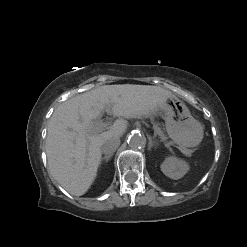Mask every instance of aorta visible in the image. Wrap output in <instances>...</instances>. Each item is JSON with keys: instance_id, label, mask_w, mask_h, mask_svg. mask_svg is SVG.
<instances>
[{"instance_id": "762f6f07", "label": "aorta", "mask_w": 247, "mask_h": 247, "mask_svg": "<svg viewBox=\"0 0 247 247\" xmlns=\"http://www.w3.org/2000/svg\"><path fill=\"white\" fill-rule=\"evenodd\" d=\"M128 145L132 149H139L145 145V138L138 132L132 133L128 137Z\"/></svg>"}]
</instances>
